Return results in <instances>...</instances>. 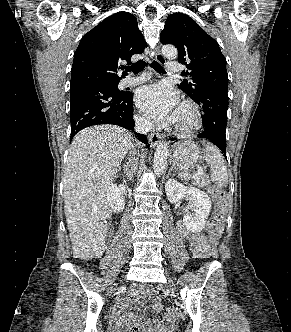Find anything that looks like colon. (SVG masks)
I'll return each instance as SVG.
<instances>
[{"label": "colon", "instance_id": "1", "mask_svg": "<svg viewBox=\"0 0 291 332\" xmlns=\"http://www.w3.org/2000/svg\"><path fill=\"white\" fill-rule=\"evenodd\" d=\"M211 193L217 201V206L214 212L215 229L209 235L208 258L215 259L218 255L217 240L225 219L227 199L224 192L218 188H212ZM132 332H136V329H133Z\"/></svg>", "mask_w": 291, "mask_h": 332}]
</instances>
